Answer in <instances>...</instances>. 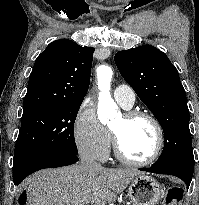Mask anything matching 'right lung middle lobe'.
<instances>
[{
	"label": "right lung middle lobe",
	"instance_id": "1",
	"mask_svg": "<svg viewBox=\"0 0 199 205\" xmlns=\"http://www.w3.org/2000/svg\"><path fill=\"white\" fill-rule=\"evenodd\" d=\"M80 106L57 103L23 111L13 167L49 152L77 155L74 123Z\"/></svg>",
	"mask_w": 199,
	"mask_h": 205
}]
</instances>
